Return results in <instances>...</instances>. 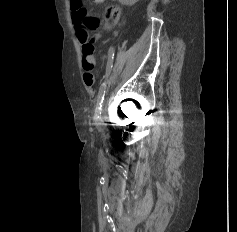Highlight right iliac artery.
I'll return each mask as SVG.
<instances>
[{
  "mask_svg": "<svg viewBox=\"0 0 237 232\" xmlns=\"http://www.w3.org/2000/svg\"><path fill=\"white\" fill-rule=\"evenodd\" d=\"M114 53L115 49L114 47H110L108 50V61L106 65V74L104 76V82L101 84L99 93H98V100H97V106H96V113H95V119H99L101 112H102V106H103V101H104V96H105V89H106V82L107 78L110 75V72L113 67V61H114Z\"/></svg>",
  "mask_w": 237,
  "mask_h": 232,
  "instance_id": "1",
  "label": "right iliac artery"
}]
</instances>
